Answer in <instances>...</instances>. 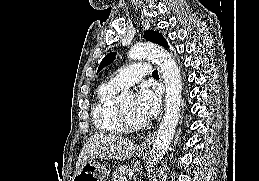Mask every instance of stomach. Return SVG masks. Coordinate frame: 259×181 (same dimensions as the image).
Instances as JSON below:
<instances>
[{
    "label": "stomach",
    "instance_id": "0dacf381",
    "mask_svg": "<svg viewBox=\"0 0 259 181\" xmlns=\"http://www.w3.org/2000/svg\"><path fill=\"white\" fill-rule=\"evenodd\" d=\"M139 156L144 158L145 153L139 152ZM107 176V169L98 161L91 160L75 173L72 181H106Z\"/></svg>",
    "mask_w": 259,
    "mask_h": 181
}]
</instances>
